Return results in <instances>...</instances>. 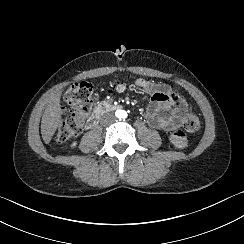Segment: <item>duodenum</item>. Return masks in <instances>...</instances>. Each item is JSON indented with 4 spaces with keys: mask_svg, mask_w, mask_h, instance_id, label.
Returning a JSON list of instances; mask_svg holds the SVG:
<instances>
[{
    "mask_svg": "<svg viewBox=\"0 0 244 244\" xmlns=\"http://www.w3.org/2000/svg\"><path fill=\"white\" fill-rule=\"evenodd\" d=\"M121 107L120 104H116L113 102H103L99 103L97 110L94 113L93 118L90 121V128L94 127L96 119L99 118L104 112L108 110H118Z\"/></svg>",
    "mask_w": 244,
    "mask_h": 244,
    "instance_id": "obj_1",
    "label": "duodenum"
}]
</instances>
